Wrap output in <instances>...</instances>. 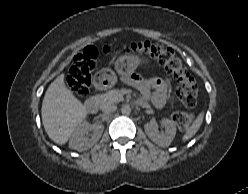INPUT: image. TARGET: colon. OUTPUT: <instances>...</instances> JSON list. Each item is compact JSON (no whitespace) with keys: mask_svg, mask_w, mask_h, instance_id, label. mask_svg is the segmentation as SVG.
<instances>
[{"mask_svg":"<svg viewBox=\"0 0 248 194\" xmlns=\"http://www.w3.org/2000/svg\"><path fill=\"white\" fill-rule=\"evenodd\" d=\"M106 54L114 53H145L156 59L173 76L178 85L175 89V96L187 108H194L198 98V87L194 78L183 66L181 60L175 53L157 42L138 41L126 44L123 47H103ZM98 50L95 47H86L73 59L66 84L70 91L78 96L84 97L89 92V86L96 69ZM173 120L180 130H187L194 121L192 112H177Z\"/></svg>","mask_w":248,"mask_h":194,"instance_id":"1","label":"colon"}]
</instances>
